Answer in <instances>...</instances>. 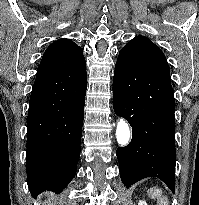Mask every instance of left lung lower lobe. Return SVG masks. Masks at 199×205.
<instances>
[{
	"label": "left lung lower lobe",
	"instance_id": "0a47b994",
	"mask_svg": "<svg viewBox=\"0 0 199 205\" xmlns=\"http://www.w3.org/2000/svg\"><path fill=\"white\" fill-rule=\"evenodd\" d=\"M113 107L132 126L131 142L117 149L126 187L146 177L175 191V100L161 49L136 36L119 52L113 78Z\"/></svg>",
	"mask_w": 199,
	"mask_h": 205
}]
</instances>
